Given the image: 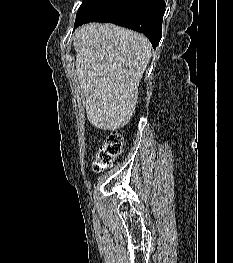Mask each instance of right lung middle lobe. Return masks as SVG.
I'll return each instance as SVG.
<instances>
[{
  "mask_svg": "<svg viewBox=\"0 0 233 263\" xmlns=\"http://www.w3.org/2000/svg\"><path fill=\"white\" fill-rule=\"evenodd\" d=\"M126 0H84L76 22L103 21L113 15Z\"/></svg>",
  "mask_w": 233,
  "mask_h": 263,
  "instance_id": "dd1d6c3e",
  "label": "right lung middle lobe"
}]
</instances>
